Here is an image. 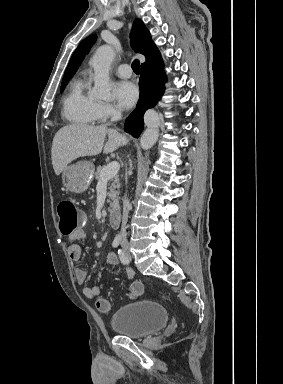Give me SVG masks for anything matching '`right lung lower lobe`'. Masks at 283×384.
Segmentation results:
<instances>
[{
  "label": "right lung lower lobe",
  "mask_w": 283,
  "mask_h": 384,
  "mask_svg": "<svg viewBox=\"0 0 283 384\" xmlns=\"http://www.w3.org/2000/svg\"><path fill=\"white\" fill-rule=\"evenodd\" d=\"M166 76L163 65L153 69L141 70L139 79L140 98L135 109L126 119L124 130L134 137H138L143 128L145 110L154 107L164 92Z\"/></svg>",
  "instance_id": "obj_1"
}]
</instances>
